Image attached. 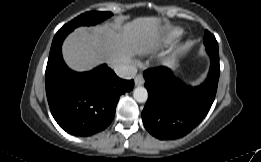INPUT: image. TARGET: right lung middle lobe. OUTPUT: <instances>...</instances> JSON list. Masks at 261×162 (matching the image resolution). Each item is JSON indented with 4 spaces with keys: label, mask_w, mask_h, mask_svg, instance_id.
<instances>
[{
    "label": "right lung middle lobe",
    "mask_w": 261,
    "mask_h": 162,
    "mask_svg": "<svg viewBox=\"0 0 261 162\" xmlns=\"http://www.w3.org/2000/svg\"><path fill=\"white\" fill-rule=\"evenodd\" d=\"M112 16L111 12H98V11H89L80 16L76 17L66 25H64L59 32L69 31L71 32L74 28L81 25H95L106 18Z\"/></svg>",
    "instance_id": "obj_1"
}]
</instances>
